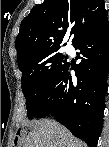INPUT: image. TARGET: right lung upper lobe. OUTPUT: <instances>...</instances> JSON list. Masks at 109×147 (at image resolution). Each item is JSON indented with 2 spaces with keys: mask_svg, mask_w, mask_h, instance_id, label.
<instances>
[{
  "mask_svg": "<svg viewBox=\"0 0 109 147\" xmlns=\"http://www.w3.org/2000/svg\"><path fill=\"white\" fill-rule=\"evenodd\" d=\"M105 17L104 0H44L20 24L15 41L19 69L58 50L69 31L74 45Z\"/></svg>",
  "mask_w": 109,
  "mask_h": 147,
  "instance_id": "right-lung-upper-lobe-1",
  "label": "right lung upper lobe"
}]
</instances>
